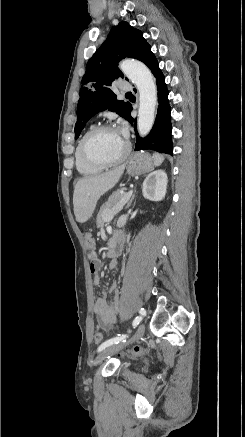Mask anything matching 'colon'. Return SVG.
Returning a JSON list of instances; mask_svg holds the SVG:
<instances>
[{
	"label": "colon",
	"mask_w": 245,
	"mask_h": 437,
	"mask_svg": "<svg viewBox=\"0 0 245 437\" xmlns=\"http://www.w3.org/2000/svg\"><path fill=\"white\" fill-rule=\"evenodd\" d=\"M86 246H87L88 250L91 253L92 261H91L90 267L93 269L94 268L93 254H94V250H95V247H96V243H95L94 238L92 236H90V235H88L86 237ZM102 340H103L102 332L99 331V330H96L95 333H94V342L96 344H100L102 342ZM126 353H128L130 355H133V356H139V355H142V354L146 353V350L144 348H141V347H135L133 349L128 350Z\"/></svg>",
	"instance_id": "1"
}]
</instances>
